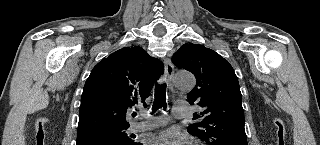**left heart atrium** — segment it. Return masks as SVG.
Segmentation results:
<instances>
[{
    "instance_id": "1",
    "label": "left heart atrium",
    "mask_w": 320,
    "mask_h": 145,
    "mask_svg": "<svg viewBox=\"0 0 320 145\" xmlns=\"http://www.w3.org/2000/svg\"><path fill=\"white\" fill-rule=\"evenodd\" d=\"M151 145H190L188 136L174 129H167L149 138Z\"/></svg>"
}]
</instances>
